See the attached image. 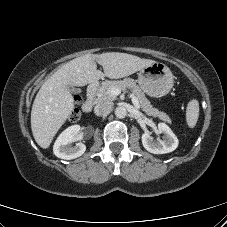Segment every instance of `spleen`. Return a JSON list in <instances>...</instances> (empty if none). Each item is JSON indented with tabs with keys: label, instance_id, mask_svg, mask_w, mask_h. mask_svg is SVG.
<instances>
[{
	"label": "spleen",
	"instance_id": "obj_1",
	"mask_svg": "<svg viewBox=\"0 0 227 227\" xmlns=\"http://www.w3.org/2000/svg\"><path fill=\"white\" fill-rule=\"evenodd\" d=\"M199 117V102L196 99L189 101L186 110V122L190 128H194Z\"/></svg>",
	"mask_w": 227,
	"mask_h": 227
}]
</instances>
